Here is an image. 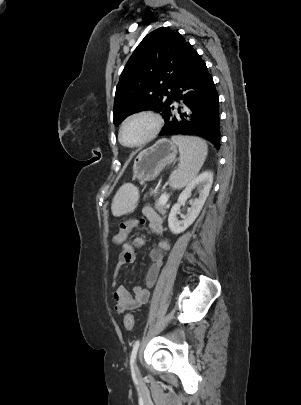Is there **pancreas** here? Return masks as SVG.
<instances>
[{
	"label": "pancreas",
	"instance_id": "pancreas-1",
	"mask_svg": "<svg viewBox=\"0 0 301 405\" xmlns=\"http://www.w3.org/2000/svg\"><path fill=\"white\" fill-rule=\"evenodd\" d=\"M168 198V196H167ZM155 208L161 213H166V202H161L160 200L156 201Z\"/></svg>",
	"mask_w": 301,
	"mask_h": 405
}]
</instances>
